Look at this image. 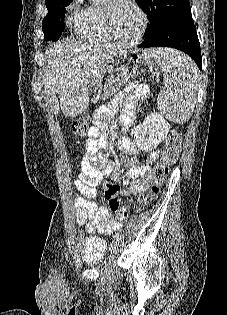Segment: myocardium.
<instances>
[{
    "label": "myocardium",
    "instance_id": "myocardium-1",
    "mask_svg": "<svg viewBox=\"0 0 227 315\" xmlns=\"http://www.w3.org/2000/svg\"><path fill=\"white\" fill-rule=\"evenodd\" d=\"M126 3L132 6L141 17V27L139 33L131 40H122L116 33L113 27V12L118 4ZM103 22L106 32L111 37L113 41L125 44V45H135L141 41L146 29L148 27L149 18L144 9L135 0H107L103 6Z\"/></svg>",
    "mask_w": 227,
    "mask_h": 315
}]
</instances>
